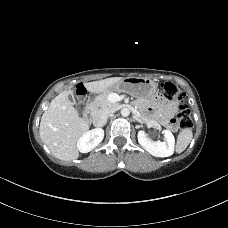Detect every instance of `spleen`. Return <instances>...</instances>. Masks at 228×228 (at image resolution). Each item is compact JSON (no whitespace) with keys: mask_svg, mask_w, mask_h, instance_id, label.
<instances>
[{"mask_svg":"<svg viewBox=\"0 0 228 228\" xmlns=\"http://www.w3.org/2000/svg\"><path fill=\"white\" fill-rule=\"evenodd\" d=\"M193 138V133L190 128H184L180 131L177 137L176 143V152L181 153L183 152Z\"/></svg>","mask_w":228,"mask_h":228,"instance_id":"3e777b00","label":"spleen"}]
</instances>
